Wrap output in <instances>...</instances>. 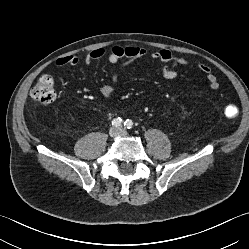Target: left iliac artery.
<instances>
[{
  "label": "left iliac artery",
  "instance_id": "44dca946",
  "mask_svg": "<svg viewBox=\"0 0 249 249\" xmlns=\"http://www.w3.org/2000/svg\"><path fill=\"white\" fill-rule=\"evenodd\" d=\"M124 126L127 128V129H131L132 126H133V122L129 119H127L125 122H124Z\"/></svg>",
  "mask_w": 249,
  "mask_h": 249
}]
</instances>
